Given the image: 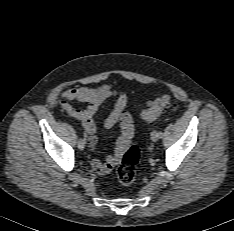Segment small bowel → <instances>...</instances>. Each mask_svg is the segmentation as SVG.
<instances>
[{
  "label": "small bowel",
  "mask_w": 234,
  "mask_h": 231,
  "mask_svg": "<svg viewBox=\"0 0 234 231\" xmlns=\"http://www.w3.org/2000/svg\"><path fill=\"white\" fill-rule=\"evenodd\" d=\"M63 99L61 107L72 118L81 122L89 142L91 150L95 149L97 138L95 136L96 125L93 116L100 105L108 98H116L113 109L104 120L107 128H112L119 121L121 123V134L117 139L114 154H109L104 161L97 158L92 159L91 166L99 174H108L112 167L118 163L122 155L127 150L134 134L130 118L124 113L127 105V96L119 88L112 85H103L98 88L78 87L66 89L61 93ZM78 101L86 103L87 107L78 109L73 107L70 102Z\"/></svg>",
  "instance_id": "obj_1"
}]
</instances>
